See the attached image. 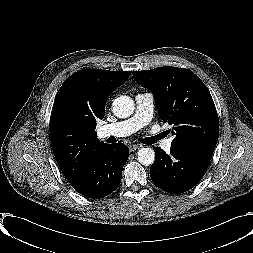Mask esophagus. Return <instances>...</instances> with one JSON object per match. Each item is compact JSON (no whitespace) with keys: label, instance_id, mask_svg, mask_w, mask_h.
<instances>
[{"label":"esophagus","instance_id":"esophagus-1","mask_svg":"<svg viewBox=\"0 0 253 253\" xmlns=\"http://www.w3.org/2000/svg\"><path fill=\"white\" fill-rule=\"evenodd\" d=\"M140 148V145L139 144H131L130 146H129V150L131 151V152H134V151H136L137 149H139Z\"/></svg>","mask_w":253,"mask_h":253}]
</instances>
